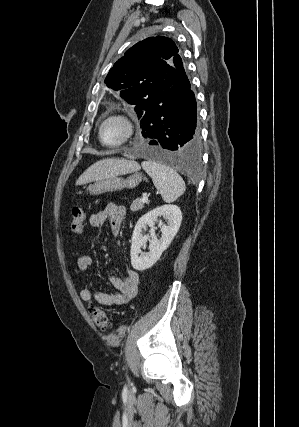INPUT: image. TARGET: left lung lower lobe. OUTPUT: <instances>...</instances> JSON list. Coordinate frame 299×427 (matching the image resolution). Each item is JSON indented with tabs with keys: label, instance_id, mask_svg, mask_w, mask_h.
I'll return each instance as SVG.
<instances>
[{
	"label": "left lung lower lobe",
	"instance_id": "1",
	"mask_svg": "<svg viewBox=\"0 0 299 427\" xmlns=\"http://www.w3.org/2000/svg\"><path fill=\"white\" fill-rule=\"evenodd\" d=\"M173 61L177 79L140 118L143 136L148 139L143 151L158 161L185 166L200 148L197 104L178 52Z\"/></svg>",
	"mask_w": 299,
	"mask_h": 427
}]
</instances>
